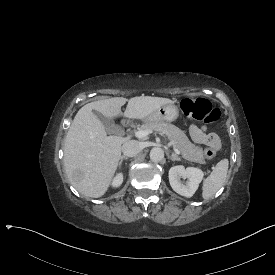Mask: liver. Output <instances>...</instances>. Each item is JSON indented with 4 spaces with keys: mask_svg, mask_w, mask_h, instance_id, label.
<instances>
[{
    "mask_svg": "<svg viewBox=\"0 0 275 275\" xmlns=\"http://www.w3.org/2000/svg\"><path fill=\"white\" fill-rule=\"evenodd\" d=\"M128 101L126 110L121 107ZM173 103L160 97L140 96L126 99L114 97L84 105L74 117L65 139L64 166L71 184L83 195L101 197L107 191L121 157V145L128 138L107 136L105 126L92 112L107 118L123 115L143 119L159 107ZM81 170L82 176H74Z\"/></svg>",
    "mask_w": 275,
    "mask_h": 275,
    "instance_id": "6515ba94",
    "label": "liver"
}]
</instances>
